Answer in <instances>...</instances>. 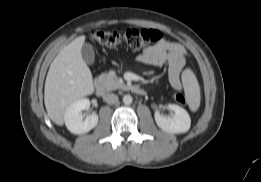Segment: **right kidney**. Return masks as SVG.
Segmentation results:
<instances>
[{
    "mask_svg": "<svg viewBox=\"0 0 261 182\" xmlns=\"http://www.w3.org/2000/svg\"><path fill=\"white\" fill-rule=\"evenodd\" d=\"M90 107V100L87 98L73 102L64 113V122L67 129L73 134H84L95 128L98 124V115L93 113L83 120L82 110Z\"/></svg>",
    "mask_w": 261,
    "mask_h": 182,
    "instance_id": "1",
    "label": "right kidney"
}]
</instances>
